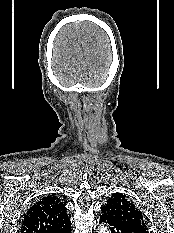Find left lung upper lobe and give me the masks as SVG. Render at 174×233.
I'll return each mask as SVG.
<instances>
[{"label":"left lung upper lobe","mask_w":174,"mask_h":233,"mask_svg":"<svg viewBox=\"0 0 174 233\" xmlns=\"http://www.w3.org/2000/svg\"><path fill=\"white\" fill-rule=\"evenodd\" d=\"M102 211L112 218L147 228L141 211L135 204L127 200L122 193L112 194L111 198L102 207Z\"/></svg>","instance_id":"left-lung-upper-lobe-1"}]
</instances>
